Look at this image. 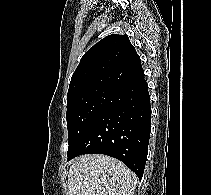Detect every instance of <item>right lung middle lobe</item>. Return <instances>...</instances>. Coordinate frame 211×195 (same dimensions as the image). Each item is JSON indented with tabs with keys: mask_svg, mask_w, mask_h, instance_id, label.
<instances>
[{
	"mask_svg": "<svg viewBox=\"0 0 211 195\" xmlns=\"http://www.w3.org/2000/svg\"><path fill=\"white\" fill-rule=\"evenodd\" d=\"M111 92L109 89H90L67 97L68 152L105 107Z\"/></svg>",
	"mask_w": 211,
	"mask_h": 195,
	"instance_id": "1",
	"label": "right lung middle lobe"
}]
</instances>
